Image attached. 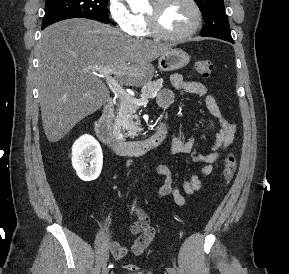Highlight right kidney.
Here are the masks:
<instances>
[{
    "mask_svg": "<svg viewBox=\"0 0 289 274\" xmlns=\"http://www.w3.org/2000/svg\"><path fill=\"white\" fill-rule=\"evenodd\" d=\"M103 153L98 141L91 135H83L72 146V166L83 181H93L101 173Z\"/></svg>",
    "mask_w": 289,
    "mask_h": 274,
    "instance_id": "obj_1",
    "label": "right kidney"
}]
</instances>
